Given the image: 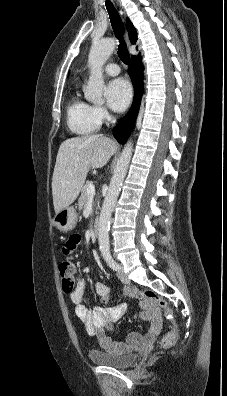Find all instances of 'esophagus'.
Here are the masks:
<instances>
[{"label":"esophagus","mask_w":227,"mask_h":396,"mask_svg":"<svg viewBox=\"0 0 227 396\" xmlns=\"http://www.w3.org/2000/svg\"><path fill=\"white\" fill-rule=\"evenodd\" d=\"M126 42H127L128 46L131 44L127 34H126Z\"/></svg>","instance_id":"1"}]
</instances>
